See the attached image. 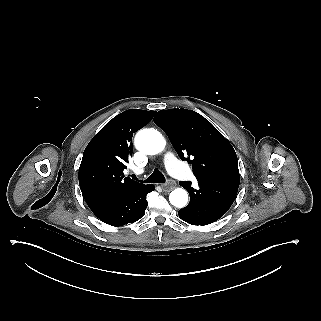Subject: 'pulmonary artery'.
<instances>
[{"instance_id": "pulmonary-artery-1", "label": "pulmonary artery", "mask_w": 321, "mask_h": 321, "mask_svg": "<svg viewBox=\"0 0 321 321\" xmlns=\"http://www.w3.org/2000/svg\"><path fill=\"white\" fill-rule=\"evenodd\" d=\"M164 163L169 172L173 173L176 179L180 181L187 179L189 172L186 167L181 165L177 156L173 154L166 156Z\"/></svg>"}]
</instances>
